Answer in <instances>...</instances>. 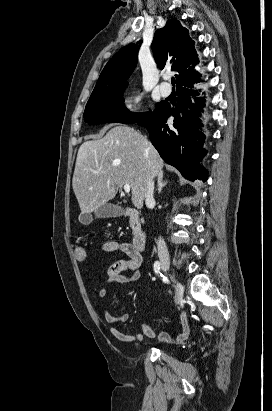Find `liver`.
<instances>
[{
	"mask_svg": "<svg viewBox=\"0 0 272 411\" xmlns=\"http://www.w3.org/2000/svg\"><path fill=\"white\" fill-rule=\"evenodd\" d=\"M163 160L134 128L116 126L98 140L84 142L77 154L72 187L81 213L89 214L130 185L132 202L141 208L147 180L163 173Z\"/></svg>",
	"mask_w": 272,
	"mask_h": 411,
	"instance_id": "6515ba94",
	"label": "liver"
}]
</instances>
